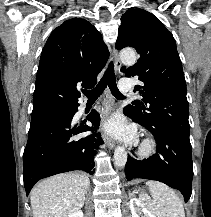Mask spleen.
<instances>
[{"label": "spleen", "instance_id": "obj_1", "mask_svg": "<svg viewBox=\"0 0 211 217\" xmlns=\"http://www.w3.org/2000/svg\"><path fill=\"white\" fill-rule=\"evenodd\" d=\"M151 197L141 194L140 199L155 217H185L183 204L177 194L166 184L149 180Z\"/></svg>", "mask_w": 211, "mask_h": 217}]
</instances>
